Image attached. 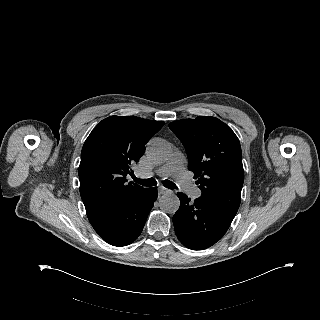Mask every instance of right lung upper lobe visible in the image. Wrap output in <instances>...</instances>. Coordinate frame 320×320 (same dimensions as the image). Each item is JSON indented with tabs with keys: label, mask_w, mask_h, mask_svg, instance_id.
<instances>
[{
	"label": "right lung upper lobe",
	"mask_w": 320,
	"mask_h": 320,
	"mask_svg": "<svg viewBox=\"0 0 320 320\" xmlns=\"http://www.w3.org/2000/svg\"><path fill=\"white\" fill-rule=\"evenodd\" d=\"M163 125L136 116H110L92 130L79 166L80 194L88 217L114 209L144 189L128 183L126 176Z\"/></svg>",
	"instance_id": "cb5924a9"
}]
</instances>
